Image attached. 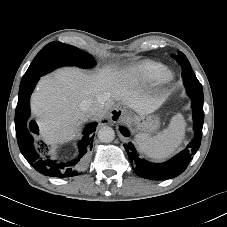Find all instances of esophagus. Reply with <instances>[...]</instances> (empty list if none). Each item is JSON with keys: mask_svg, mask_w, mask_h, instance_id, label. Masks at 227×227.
<instances>
[{"mask_svg": "<svg viewBox=\"0 0 227 227\" xmlns=\"http://www.w3.org/2000/svg\"><path fill=\"white\" fill-rule=\"evenodd\" d=\"M125 112L121 108H114L111 110L110 119L112 122L117 123L124 118Z\"/></svg>", "mask_w": 227, "mask_h": 227, "instance_id": "obj_1", "label": "esophagus"}]
</instances>
